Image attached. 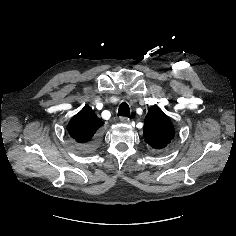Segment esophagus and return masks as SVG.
Returning <instances> with one entry per match:
<instances>
[{"label":"esophagus","mask_w":236,"mask_h":236,"mask_svg":"<svg viewBox=\"0 0 236 236\" xmlns=\"http://www.w3.org/2000/svg\"><path fill=\"white\" fill-rule=\"evenodd\" d=\"M119 121L121 122V123H124V124H127L128 122H129V119L127 118V117H120L119 118Z\"/></svg>","instance_id":"esophagus-1"}]
</instances>
